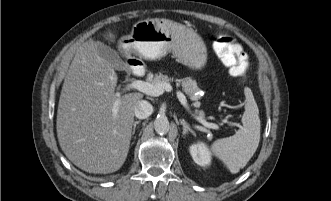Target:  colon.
<instances>
[{"mask_svg": "<svg viewBox=\"0 0 331 201\" xmlns=\"http://www.w3.org/2000/svg\"><path fill=\"white\" fill-rule=\"evenodd\" d=\"M215 51L223 64L228 67L231 76L240 78L248 68V58L236 40L227 35H220L215 40Z\"/></svg>", "mask_w": 331, "mask_h": 201, "instance_id": "colon-1", "label": "colon"}]
</instances>
